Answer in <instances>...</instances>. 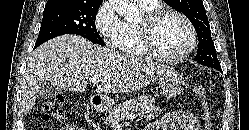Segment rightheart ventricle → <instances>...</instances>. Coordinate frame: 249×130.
Instances as JSON below:
<instances>
[{"label":"right heart ventricle","instance_id":"right-heart-ventricle-1","mask_svg":"<svg viewBox=\"0 0 249 130\" xmlns=\"http://www.w3.org/2000/svg\"><path fill=\"white\" fill-rule=\"evenodd\" d=\"M138 4L146 12L154 11L157 7H151L140 3ZM117 48L132 57H145L148 55L142 43L140 28L138 24L123 22V29L118 41Z\"/></svg>","mask_w":249,"mask_h":130}]
</instances>
